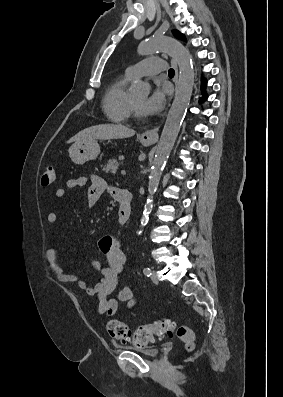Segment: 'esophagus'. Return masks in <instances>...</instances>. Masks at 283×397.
I'll use <instances>...</instances> for the list:
<instances>
[{
	"mask_svg": "<svg viewBox=\"0 0 283 397\" xmlns=\"http://www.w3.org/2000/svg\"><path fill=\"white\" fill-rule=\"evenodd\" d=\"M171 64H172V66H173V68H174V70H175V78H174V81H175V86H177V79H178V65H177V61L173 58V59L171 60ZM159 129H160V125H158V126L152 128V129L146 130V131L141 135V139H142L144 142H148V143L156 142V141L158 140V132H159Z\"/></svg>",
	"mask_w": 283,
	"mask_h": 397,
	"instance_id": "esophagus-1",
	"label": "esophagus"
}]
</instances>
